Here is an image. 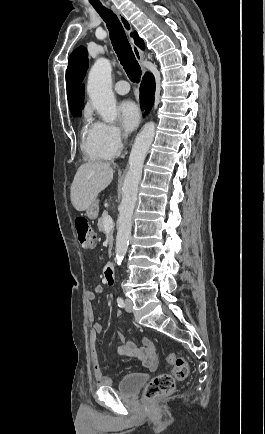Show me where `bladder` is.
Returning a JSON list of instances; mask_svg holds the SVG:
<instances>
[{"label":"bladder","mask_w":265,"mask_h":434,"mask_svg":"<svg viewBox=\"0 0 265 434\" xmlns=\"http://www.w3.org/2000/svg\"><path fill=\"white\" fill-rule=\"evenodd\" d=\"M146 380L147 376L145 374L134 373L126 375L120 381L117 392L123 398L134 399L139 395Z\"/></svg>","instance_id":"1"}]
</instances>
